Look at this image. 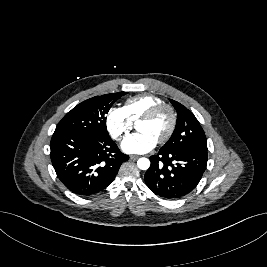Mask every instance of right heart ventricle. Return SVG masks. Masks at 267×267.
Here are the masks:
<instances>
[{
    "label": "right heart ventricle",
    "mask_w": 267,
    "mask_h": 267,
    "mask_svg": "<svg viewBox=\"0 0 267 267\" xmlns=\"http://www.w3.org/2000/svg\"><path fill=\"white\" fill-rule=\"evenodd\" d=\"M162 103V100L151 94H140L126 100L124 110L132 122L139 120L150 108Z\"/></svg>",
    "instance_id": "obj_1"
}]
</instances>
